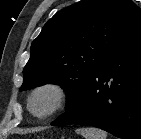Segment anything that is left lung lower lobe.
<instances>
[{
	"label": "left lung lower lobe",
	"instance_id": "obj_1",
	"mask_svg": "<svg viewBox=\"0 0 141 139\" xmlns=\"http://www.w3.org/2000/svg\"><path fill=\"white\" fill-rule=\"evenodd\" d=\"M67 124L141 139V29L107 55L73 104L51 123Z\"/></svg>",
	"mask_w": 141,
	"mask_h": 139
}]
</instances>
